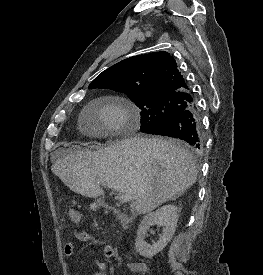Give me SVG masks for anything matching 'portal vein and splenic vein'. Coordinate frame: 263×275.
I'll list each match as a JSON object with an SVG mask.
<instances>
[{"mask_svg":"<svg viewBox=\"0 0 263 275\" xmlns=\"http://www.w3.org/2000/svg\"><path fill=\"white\" fill-rule=\"evenodd\" d=\"M102 186H104V184H100ZM116 198H118L120 201L122 202H128L130 200H132V196L129 194H122L121 192L116 196Z\"/></svg>","mask_w":263,"mask_h":275,"instance_id":"18ae733b","label":"portal vein and splenic vein"}]
</instances>
